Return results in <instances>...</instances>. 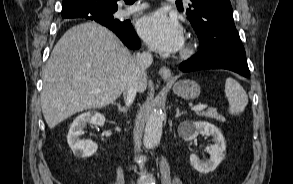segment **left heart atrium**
Segmentation results:
<instances>
[{
    "instance_id": "1",
    "label": "left heart atrium",
    "mask_w": 293,
    "mask_h": 184,
    "mask_svg": "<svg viewBox=\"0 0 293 184\" xmlns=\"http://www.w3.org/2000/svg\"><path fill=\"white\" fill-rule=\"evenodd\" d=\"M141 37L154 49L171 53L180 50L184 43L181 25L163 12L142 17L137 24Z\"/></svg>"
}]
</instances>
